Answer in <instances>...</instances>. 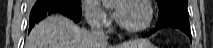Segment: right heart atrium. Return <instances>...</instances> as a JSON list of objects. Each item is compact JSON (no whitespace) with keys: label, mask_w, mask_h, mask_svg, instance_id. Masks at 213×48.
Instances as JSON below:
<instances>
[{"label":"right heart atrium","mask_w":213,"mask_h":48,"mask_svg":"<svg viewBox=\"0 0 213 48\" xmlns=\"http://www.w3.org/2000/svg\"><path fill=\"white\" fill-rule=\"evenodd\" d=\"M85 17L88 23L95 28H104L109 22L108 13L102 8L100 3L95 0L84 1L83 4Z\"/></svg>","instance_id":"1"}]
</instances>
